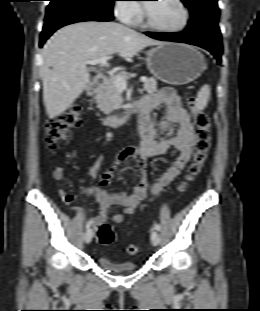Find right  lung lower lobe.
<instances>
[{
    "label": "right lung lower lobe",
    "instance_id": "1",
    "mask_svg": "<svg viewBox=\"0 0 260 311\" xmlns=\"http://www.w3.org/2000/svg\"><path fill=\"white\" fill-rule=\"evenodd\" d=\"M113 14L104 13L75 0H51L47 7L45 24L39 46L62 26L82 21H111Z\"/></svg>",
    "mask_w": 260,
    "mask_h": 311
}]
</instances>
